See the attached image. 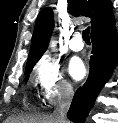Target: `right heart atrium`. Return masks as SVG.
<instances>
[{
    "label": "right heart atrium",
    "mask_w": 118,
    "mask_h": 123,
    "mask_svg": "<svg viewBox=\"0 0 118 123\" xmlns=\"http://www.w3.org/2000/svg\"><path fill=\"white\" fill-rule=\"evenodd\" d=\"M33 77L40 97L48 105H54L72 93V85L64 77L60 64L49 55H44L35 64Z\"/></svg>",
    "instance_id": "1"
}]
</instances>
